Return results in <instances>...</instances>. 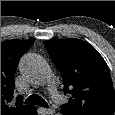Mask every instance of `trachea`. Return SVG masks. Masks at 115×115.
<instances>
[{
    "instance_id": "1",
    "label": "trachea",
    "mask_w": 115,
    "mask_h": 115,
    "mask_svg": "<svg viewBox=\"0 0 115 115\" xmlns=\"http://www.w3.org/2000/svg\"><path fill=\"white\" fill-rule=\"evenodd\" d=\"M25 104H37L41 107H48L45 100L37 95H31L25 100Z\"/></svg>"
}]
</instances>
